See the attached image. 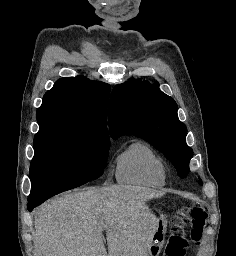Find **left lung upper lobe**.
I'll use <instances>...</instances> for the list:
<instances>
[{
    "instance_id": "1",
    "label": "left lung upper lobe",
    "mask_w": 236,
    "mask_h": 256,
    "mask_svg": "<svg viewBox=\"0 0 236 256\" xmlns=\"http://www.w3.org/2000/svg\"><path fill=\"white\" fill-rule=\"evenodd\" d=\"M109 126L113 138L134 134L150 142L172 162L181 178L187 176L193 156L186 144L187 129L178 119L176 102L160 91L159 83L133 79L116 85L109 105Z\"/></svg>"
}]
</instances>
